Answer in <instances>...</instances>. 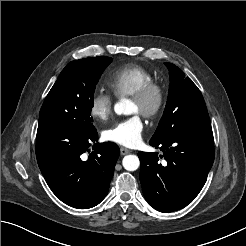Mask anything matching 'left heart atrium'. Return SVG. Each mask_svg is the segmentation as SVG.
Segmentation results:
<instances>
[{"instance_id":"1","label":"left heart atrium","mask_w":246,"mask_h":246,"mask_svg":"<svg viewBox=\"0 0 246 246\" xmlns=\"http://www.w3.org/2000/svg\"><path fill=\"white\" fill-rule=\"evenodd\" d=\"M143 129L142 119L135 114L107 129L103 136L106 140L119 145L135 147L141 142Z\"/></svg>"}]
</instances>
